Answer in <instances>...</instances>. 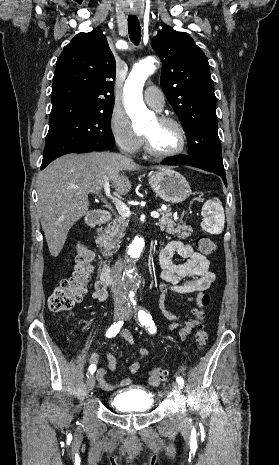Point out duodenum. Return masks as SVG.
Here are the masks:
<instances>
[{"label":"duodenum","instance_id":"obj_1","mask_svg":"<svg viewBox=\"0 0 279 465\" xmlns=\"http://www.w3.org/2000/svg\"><path fill=\"white\" fill-rule=\"evenodd\" d=\"M110 219H111V213L107 210H101V211L91 214L88 217V223L99 230ZM102 255L106 258L108 256V251L106 249H102ZM100 279L107 286L112 284V275H111L110 267L106 261L102 265Z\"/></svg>","mask_w":279,"mask_h":465}]
</instances>
